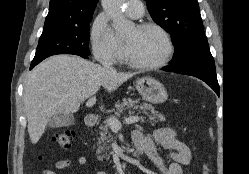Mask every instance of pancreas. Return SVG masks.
<instances>
[{
  "label": "pancreas",
  "mask_w": 249,
  "mask_h": 174,
  "mask_svg": "<svg viewBox=\"0 0 249 174\" xmlns=\"http://www.w3.org/2000/svg\"><path fill=\"white\" fill-rule=\"evenodd\" d=\"M132 109L134 110H150V112H145V114L149 117V120L151 123H157V122H162L165 121V117L158 113L157 111L154 110V108L147 103H140L138 100H132V99H123V102L120 106L117 107L115 111V116H112L111 118H115L116 116H119L120 113L123 110H128L129 113H132ZM100 138H98V148L96 153L98 154V159L103 160L104 156H101V153L104 152L105 150L109 149V146H107V143L111 142V135L109 133V125H108V120L104 122L103 125L100 127ZM109 155L106 154V159H109Z\"/></svg>",
  "instance_id": "pancreas-1"
}]
</instances>
